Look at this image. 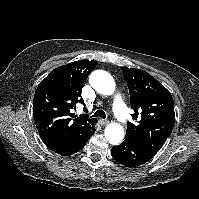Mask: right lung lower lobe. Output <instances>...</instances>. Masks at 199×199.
<instances>
[{
    "instance_id": "1",
    "label": "right lung lower lobe",
    "mask_w": 199,
    "mask_h": 199,
    "mask_svg": "<svg viewBox=\"0 0 199 199\" xmlns=\"http://www.w3.org/2000/svg\"><path fill=\"white\" fill-rule=\"evenodd\" d=\"M94 132L95 124L84 136H82L79 139L70 141L56 140L45 144L49 149H51L55 153H58L63 156H69L81 150L86 144V142L89 140V138L94 134Z\"/></svg>"
}]
</instances>
